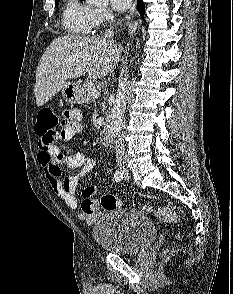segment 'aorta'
Listing matches in <instances>:
<instances>
[{
  "mask_svg": "<svg viewBox=\"0 0 233 294\" xmlns=\"http://www.w3.org/2000/svg\"><path fill=\"white\" fill-rule=\"evenodd\" d=\"M91 5H104L108 0H86ZM127 79L121 78L118 84L117 94L112 109L111 120L109 124V136L116 138L121 133L123 127V116L126 108Z\"/></svg>",
  "mask_w": 233,
  "mask_h": 294,
  "instance_id": "762f6f07",
  "label": "aorta"
}]
</instances>
